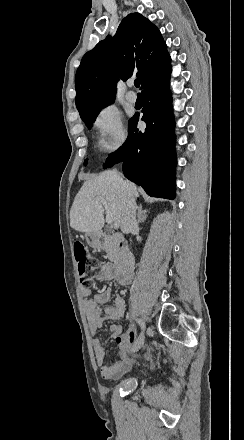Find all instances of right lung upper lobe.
<instances>
[{
  "label": "right lung upper lobe",
  "mask_w": 244,
  "mask_h": 440,
  "mask_svg": "<svg viewBox=\"0 0 244 440\" xmlns=\"http://www.w3.org/2000/svg\"><path fill=\"white\" fill-rule=\"evenodd\" d=\"M159 30L139 13L120 23L115 35L107 36L82 58L75 76L79 111L98 107L115 98V85L132 76L143 84L156 70L170 63Z\"/></svg>",
  "instance_id": "obj_1"
}]
</instances>
